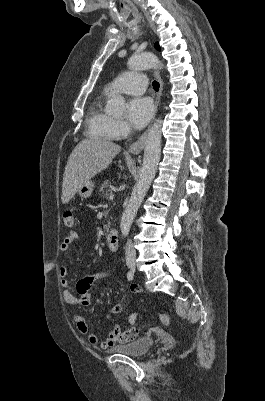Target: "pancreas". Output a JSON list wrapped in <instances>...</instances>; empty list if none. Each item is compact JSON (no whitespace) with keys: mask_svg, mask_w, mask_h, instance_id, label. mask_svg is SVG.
<instances>
[{"mask_svg":"<svg viewBox=\"0 0 265 401\" xmlns=\"http://www.w3.org/2000/svg\"><path fill=\"white\" fill-rule=\"evenodd\" d=\"M110 186H112L111 182H109V180H104L100 188H97V194L102 192L103 196H109L108 192H112V188H110ZM104 190H106V192H104ZM105 231H109V225H106Z\"/></svg>","mask_w":265,"mask_h":401,"instance_id":"obj_1","label":"pancreas"}]
</instances>
